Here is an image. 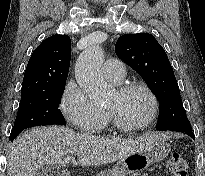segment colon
<instances>
[{
  "mask_svg": "<svg viewBox=\"0 0 205 176\" xmlns=\"http://www.w3.org/2000/svg\"><path fill=\"white\" fill-rule=\"evenodd\" d=\"M168 168L174 176H188V167L182 154L175 152L168 160Z\"/></svg>",
  "mask_w": 205,
  "mask_h": 176,
  "instance_id": "5ec220e1",
  "label": "colon"
}]
</instances>
